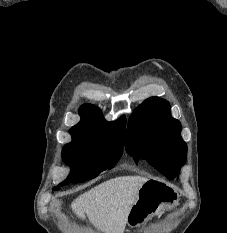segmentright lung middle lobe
Returning <instances> with one entry per match:
<instances>
[{
	"mask_svg": "<svg viewBox=\"0 0 227 233\" xmlns=\"http://www.w3.org/2000/svg\"><path fill=\"white\" fill-rule=\"evenodd\" d=\"M122 149L123 144L117 138H109L91 144L72 141L65 145L62 150V158L71 166L72 171L67 180L59 186L71 181L90 180L102 171L111 169L121 157Z\"/></svg>",
	"mask_w": 227,
	"mask_h": 233,
	"instance_id": "dd1d6c3e",
	"label": "right lung middle lobe"
}]
</instances>
